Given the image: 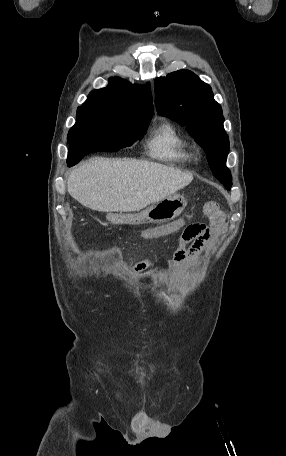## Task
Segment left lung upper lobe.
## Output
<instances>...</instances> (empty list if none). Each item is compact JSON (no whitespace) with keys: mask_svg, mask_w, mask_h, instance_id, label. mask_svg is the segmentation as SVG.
I'll use <instances>...</instances> for the list:
<instances>
[{"mask_svg":"<svg viewBox=\"0 0 286 456\" xmlns=\"http://www.w3.org/2000/svg\"><path fill=\"white\" fill-rule=\"evenodd\" d=\"M155 105L159 115L187 127L207 154L213 175L230 190L232 176L226 167L229 138L211 87L193 72L179 70L155 79Z\"/></svg>","mask_w":286,"mask_h":456,"instance_id":"5c2ea615","label":"left lung upper lobe"}]
</instances>
